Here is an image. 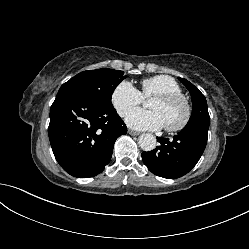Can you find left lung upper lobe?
Listing matches in <instances>:
<instances>
[{"label":"left lung upper lobe","instance_id":"5c2ea615","mask_svg":"<svg viewBox=\"0 0 249 249\" xmlns=\"http://www.w3.org/2000/svg\"><path fill=\"white\" fill-rule=\"evenodd\" d=\"M178 80L183 85H185V87L189 90L191 94L193 107L189 122L194 121L198 118H210L205 96L198 90L197 87H195L192 83H190L186 79L178 77Z\"/></svg>","mask_w":249,"mask_h":249}]
</instances>
